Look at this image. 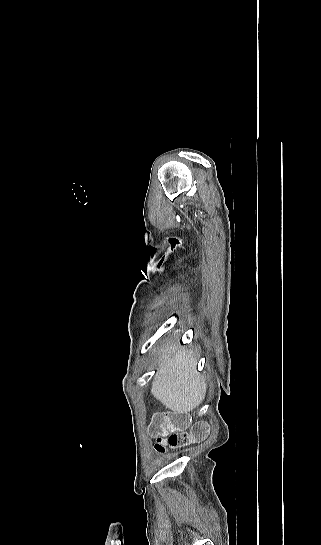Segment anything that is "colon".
<instances>
[{"label":"colon","instance_id":"1","mask_svg":"<svg viewBox=\"0 0 321 545\" xmlns=\"http://www.w3.org/2000/svg\"><path fill=\"white\" fill-rule=\"evenodd\" d=\"M189 418L182 412L158 413L152 417L149 431L156 438L155 449L164 453L178 449L193 442L203 440L208 434V426L198 423L187 432Z\"/></svg>","mask_w":321,"mask_h":545}]
</instances>
